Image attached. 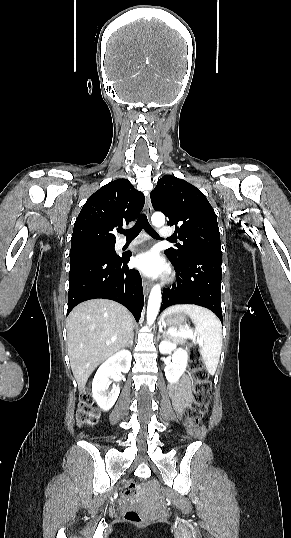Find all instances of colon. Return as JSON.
<instances>
[{
	"instance_id": "5ec220e1",
	"label": "colon",
	"mask_w": 291,
	"mask_h": 538,
	"mask_svg": "<svg viewBox=\"0 0 291 538\" xmlns=\"http://www.w3.org/2000/svg\"><path fill=\"white\" fill-rule=\"evenodd\" d=\"M190 360L193 363V379L195 382L194 397L192 403L185 409L186 425H195L203 416L210 401L211 384L209 375L198 352L188 349ZM77 421L79 425H93L99 417V411L94 406L92 393L85 389L81 396L77 409ZM123 492L125 496L132 497L135 494L134 485L127 481L124 485ZM124 518L127 522L135 525H143L146 519L143 515L135 510H128Z\"/></svg>"
}]
</instances>
